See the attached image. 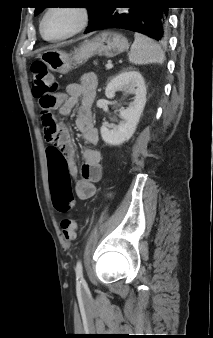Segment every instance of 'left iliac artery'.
<instances>
[{
    "label": "left iliac artery",
    "mask_w": 213,
    "mask_h": 338,
    "mask_svg": "<svg viewBox=\"0 0 213 338\" xmlns=\"http://www.w3.org/2000/svg\"><path fill=\"white\" fill-rule=\"evenodd\" d=\"M75 271H76L77 280L79 281L83 280V269H82L81 261L77 262Z\"/></svg>",
    "instance_id": "obj_1"
}]
</instances>
